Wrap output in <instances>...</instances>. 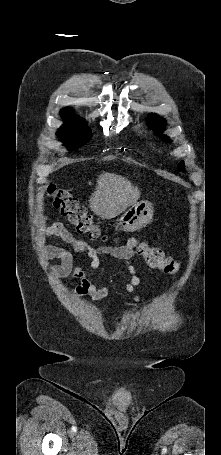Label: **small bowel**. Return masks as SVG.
<instances>
[{
  "label": "small bowel",
  "instance_id": "c3829d8e",
  "mask_svg": "<svg viewBox=\"0 0 221 455\" xmlns=\"http://www.w3.org/2000/svg\"><path fill=\"white\" fill-rule=\"evenodd\" d=\"M42 234L43 236L57 237L69 245V248L57 245H47L43 248V255L45 258L59 261V264L53 268L54 273L57 276H72L80 281L73 290L76 296H88L93 300H101L107 296L108 288L106 286L96 285L87 272L75 263V254H79L87 259L91 270H95L99 267L101 256L109 255L123 261L127 265L130 279L126 283L125 289L129 293L135 294V305L132 307L130 313H134L144 301V297L136 293L142 280L135 267L130 263V260L135 255L134 250L130 247L122 246L112 248L100 246L94 248L85 240L71 234L67 228L60 223L46 227Z\"/></svg>",
  "mask_w": 221,
  "mask_h": 455
}]
</instances>
